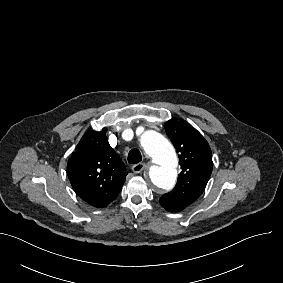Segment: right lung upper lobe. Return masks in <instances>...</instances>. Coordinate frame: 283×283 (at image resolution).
<instances>
[{"label": "right lung upper lobe", "mask_w": 283, "mask_h": 283, "mask_svg": "<svg viewBox=\"0 0 283 283\" xmlns=\"http://www.w3.org/2000/svg\"><path fill=\"white\" fill-rule=\"evenodd\" d=\"M106 131L85 133L67 165L74 191L97 208L118 196L127 175L124 163L108 143Z\"/></svg>", "instance_id": "cb5924a9"}]
</instances>
